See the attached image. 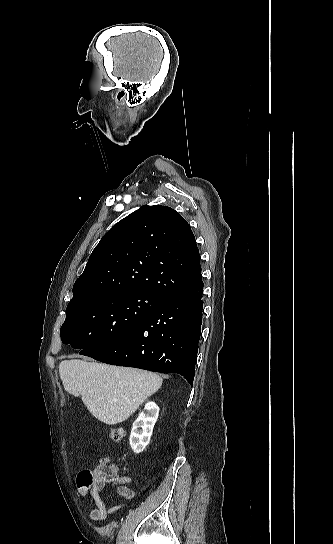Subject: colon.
I'll return each instance as SVG.
<instances>
[{
    "label": "colon",
    "mask_w": 333,
    "mask_h": 544,
    "mask_svg": "<svg viewBox=\"0 0 333 544\" xmlns=\"http://www.w3.org/2000/svg\"><path fill=\"white\" fill-rule=\"evenodd\" d=\"M109 435L113 440L119 441L124 437V430L120 427H110ZM117 476V468L104 461L93 469L82 470L78 475V482L79 485L91 487L115 482Z\"/></svg>",
    "instance_id": "obj_1"
}]
</instances>
